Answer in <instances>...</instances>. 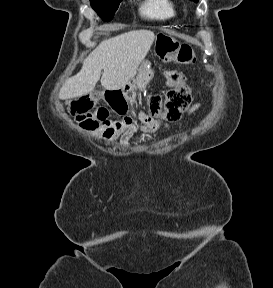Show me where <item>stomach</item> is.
Masks as SVG:
<instances>
[{"mask_svg": "<svg viewBox=\"0 0 273 288\" xmlns=\"http://www.w3.org/2000/svg\"><path fill=\"white\" fill-rule=\"evenodd\" d=\"M176 39L167 35L160 34L155 42V54L163 61H169L172 57L173 51L175 50ZM153 77V72L150 69V62L143 61L138 68V76L136 80L127 82L124 88L127 87L130 91L143 90L145 86Z\"/></svg>", "mask_w": 273, "mask_h": 288, "instance_id": "obj_1", "label": "stomach"}]
</instances>
